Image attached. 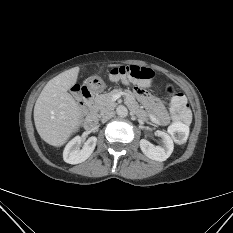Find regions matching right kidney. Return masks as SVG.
<instances>
[{
    "instance_id": "ca27d5eb",
    "label": "right kidney",
    "mask_w": 233,
    "mask_h": 233,
    "mask_svg": "<svg viewBox=\"0 0 233 233\" xmlns=\"http://www.w3.org/2000/svg\"><path fill=\"white\" fill-rule=\"evenodd\" d=\"M81 141V137L76 136L68 142L63 151V159L66 163L79 164L90 157L95 149L97 138L95 136L89 137L85 141L82 149H80Z\"/></svg>"
}]
</instances>
